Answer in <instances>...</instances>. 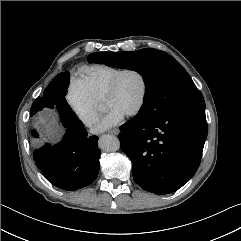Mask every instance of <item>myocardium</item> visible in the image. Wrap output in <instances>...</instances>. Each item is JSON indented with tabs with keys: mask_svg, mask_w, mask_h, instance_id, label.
I'll return each instance as SVG.
<instances>
[{
	"mask_svg": "<svg viewBox=\"0 0 241 241\" xmlns=\"http://www.w3.org/2000/svg\"><path fill=\"white\" fill-rule=\"evenodd\" d=\"M130 72L136 73L140 77L141 82H142V93H141V97H140L137 105L134 107V109H132L129 113L126 114V116H128V117L136 116L137 114H139L141 112V110L143 109V107L146 103V100H147L148 88H149L148 80H147L146 75L140 69H137L134 67H129V68H124V69L120 70L110 80V82L108 83V85L104 91V94H103V102H104L109 96H111L115 92L120 79L125 74L130 73Z\"/></svg>",
	"mask_w": 241,
	"mask_h": 241,
	"instance_id": "f54148a6",
	"label": "myocardium"
}]
</instances>
